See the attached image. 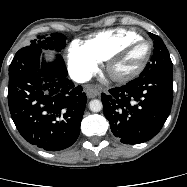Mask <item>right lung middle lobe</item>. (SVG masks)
Here are the masks:
<instances>
[{
	"label": "right lung middle lobe",
	"instance_id": "1",
	"mask_svg": "<svg viewBox=\"0 0 187 187\" xmlns=\"http://www.w3.org/2000/svg\"><path fill=\"white\" fill-rule=\"evenodd\" d=\"M65 41L63 34L52 33L50 36H38L37 39L31 40L28 46L59 52L65 47Z\"/></svg>",
	"mask_w": 187,
	"mask_h": 187
}]
</instances>
